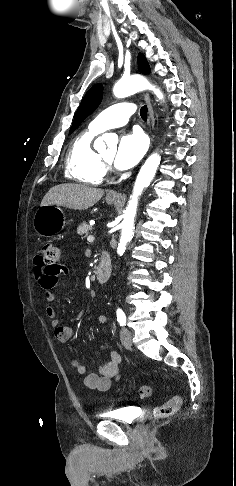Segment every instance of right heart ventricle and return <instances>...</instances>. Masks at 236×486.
Segmentation results:
<instances>
[{
    "label": "right heart ventricle",
    "instance_id": "right-heart-ventricle-1",
    "mask_svg": "<svg viewBox=\"0 0 236 486\" xmlns=\"http://www.w3.org/2000/svg\"><path fill=\"white\" fill-rule=\"evenodd\" d=\"M97 134L88 129L73 139L65 158L66 178L86 185H99L103 181L105 168L92 147Z\"/></svg>",
    "mask_w": 236,
    "mask_h": 486
}]
</instances>
